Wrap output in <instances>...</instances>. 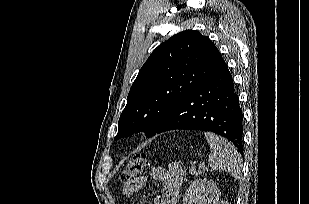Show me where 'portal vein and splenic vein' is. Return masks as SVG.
Listing matches in <instances>:
<instances>
[{"label": "portal vein and splenic vein", "instance_id": "obj_1", "mask_svg": "<svg viewBox=\"0 0 309 204\" xmlns=\"http://www.w3.org/2000/svg\"><path fill=\"white\" fill-rule=\"evenodd\" d=\"M200 167H201V168H204V167H205V164H204V163H202V164L200 165Z\"/></svg>", "mask_w": 309, "mask_h": 204}]
</instances>
